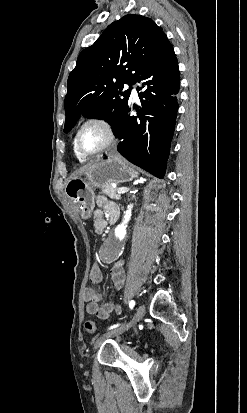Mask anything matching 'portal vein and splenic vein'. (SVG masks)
<instances>
[{"label":"portal vein and splenic vein","instance_id":"obj_1","mask_svg":"<svg viewBox=\"0 0 247 413\" xmlns=\"http://www.w3.org/2000/svg\"><path fill=\"white\" fill-rule=\"evenodd\" d=\"M129 188L127 186H122V188H117L116 192H128Z\"/></svg>","mask_w":247,"mask_h":413}]
</instances>
